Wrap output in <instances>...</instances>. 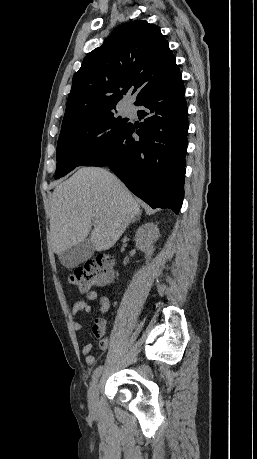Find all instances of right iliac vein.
Masks as SVG:
<instances>
[{
  "mask_svg": "<svg viewBox=\"0 0 257 459\" xmlns=\"http://www.w3.org/2000/svg\"><path fill=\"white\" fill-rule=\"evenodd\" d=\"M99 383L93 382L88 391V404L91 409H95L98 404Z\"/></svg>",
  "mask_w": 257,
  "mask_h": 459,
  "instance_id": "right-iliac-vein-1",
  "label": "right iliac vein"
}]
</instances>
